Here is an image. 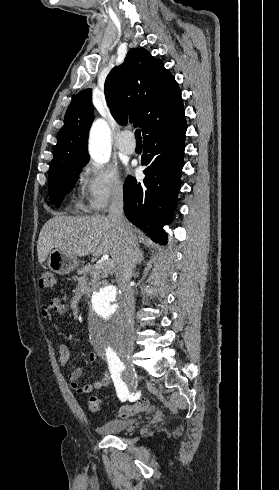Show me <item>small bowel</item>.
<instances>
[{
	"mask_svg": "<svg viewBox=\"0 0 279 490\" xmlns=\"http://www.w3.org/2000/svg\"><path fill=\"white\" fill-rule=\"evenodd\" d=\"M69 311V306L63 303L60 299L54 298L47 303L43 308V316L45 318H51L52 312L63 315ZM58 359L62 366L69 363L70 360V346L66 343H60L58 345ZM91 363H95L97 356L91 353L88 357ZM83 376V368L77 367L67 376V380L73 390L79 394H87L93 391H97L107 386L111 382L110 374L107 370H102L99 374V379L89 384H79L80 378Z\"/></svg>",
	"mask_w": 279,
	"mask_h": 490,
	"instance_id": "c3829d8e",
	"label": "small bowel"
}]
</instances>
